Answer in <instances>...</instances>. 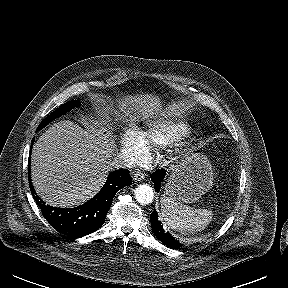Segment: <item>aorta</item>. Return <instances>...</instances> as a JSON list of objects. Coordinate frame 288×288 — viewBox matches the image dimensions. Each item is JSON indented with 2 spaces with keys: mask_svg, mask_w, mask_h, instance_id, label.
<instances>
[{
  "mask_svg": "<svg viewBox=\"0 0 288 288\" xmlns=\"http://www.w3.org/2000/svg\"><path fill=\"white\" fill-rule=\"evenodd\" d=\"M134 194H135V199L141 205L150 204L154 199L153 188L149 186L148 184L138 185L134 190Z\"/></svg>",
  "mask_w": 288,
  "mask_h": 288,
  "instance_id": "aorta-1",
  "label": "aorta"
}]
</instances>
